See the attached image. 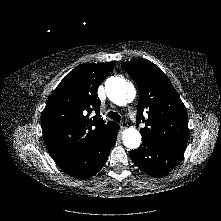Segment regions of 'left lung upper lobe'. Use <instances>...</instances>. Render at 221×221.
<instances>
[{
  "mask_svg": "<svg viewBox=\"0 0 221 221\" xmlns=\"http://www.w3.org/2000/svg\"><path fill=\"white\" fill-rule=\"evenodd\" d=\"M139 88L138 123L142 137L184 151L189 136L187 110L164 72L146 59L122 63ZM148 112V119L143 111Z\"/></svg>",
  "mask_w": 221,
  "mask_h": 221,
  "instance_id": "left-lung-upper-lobe-1",
  "label": "left lung upper lobe"
}]
</instances>
